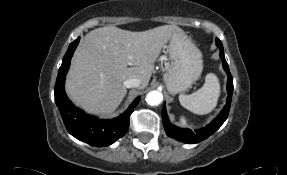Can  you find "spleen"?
Here are the masks:
<instances>
[{
	"mask_svg": "<svg viewBox=\"0 0 287 175\" xmlns=\"http://www.w3.org/2000/svg\"><path fill=\"white\" fill-rule=\"evenodd\" d=\"M219 95V80L215 74L209 73L205 77L204 85L199 90L190 95L180 94L179 101L183 107L191 112L204 115L216 107Z\"/></svg>",
	"mask_w": 287,
	"mask_h": 175,
	"instance_id": "1",
	"label": "spleen"
}]
</instances>
